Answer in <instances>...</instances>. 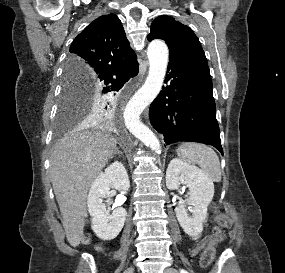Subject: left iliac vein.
<instances>
[{"instance_id":"4c4485c4","label":"left iliac vein","mask_w":285,"mask_h":273,"mask_svg":"<svg viewBox=\"0 0 285 273\" xmlns=\"http://www.w3.org/2000/svg\"><path fill=\"white\" fill-rule=\"evenodd\" d=\"M164 273H179L175 268H167L165 269Z\"/></svg>"}]
</instances>
